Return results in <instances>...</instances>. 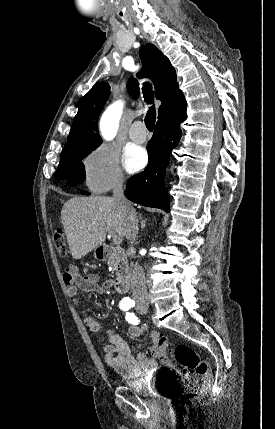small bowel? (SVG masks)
Returning <instances> with one entry per match:
<instances>
[{
	"label": "small bowel",
	"instance_id": "c3829d8e",
	"mask_svg": "<svg viewBox=\"0 0 275 429\" xmlns=\"http://www.w3.org/2000/svg\"><path fill=\"white\" fill-rule=\"evenodd\" d=\"M67 286V292L72 298L73 304L77 309H82L84 304L82 298L78 295V289L85 291H95L98 293L106 292L111 286V280H101L96 274H86L81 276L78 268L69 266L63 275ZM85 325L92 332H98L102 328L101 322L93 317L87 316L84 319ZM143 330L140 327L132 326L129 328V334L132 337H139ZM151 344L143 352L132 355L128 343L118 335L114 330L108 329V343L105 346V362L115 372L123 378H136L145 372L155 370L157 361L151 355H156L159 342L164 338L156 332H149Z\"/></svg>",
	"mask_w": 275,
	"mask_h": 429
}]
</instances>
